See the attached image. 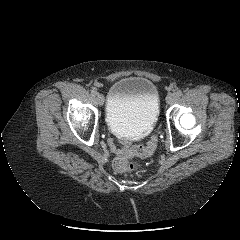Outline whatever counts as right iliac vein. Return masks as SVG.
Masks as SVG:
<instances>
[{"instance_id":"1","label":"right iliac vein","mask_w":240,"mask_h":240,"mask_svg":"<svg viewBox=\"0 0 240 240\" xmlns=\"http://www.w3.org/2000/svg\"><path fill=\"white\" fill-rule=\"evenodd\" d=\"M96 99H97V103H98L100 106H102L103 103H104V96H103L102 94L98 93Z\"/></svg>"}]
</instances>
